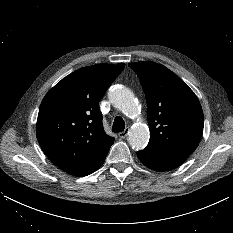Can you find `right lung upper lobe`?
Here are the masks:
<instances>
[{
  "instance_id": "obj_1",
  "label": "right lung upper lobe",
  "mask_w": 233,
  "mask_h": 233,
  "mask_svg": "<svg viewBox=\"0 0 233 233\" xmlns=\"http://www.w3.org/2000/svg\"><path fill=\"white\" fill-rule=\"evenodd\" d=\"M124 67L120 63L80 68L45 95L36 136L46 156L61 170L76 176L107 154L114 138L103 129L98 103Z\"/></svg>"
}]
</instances>
